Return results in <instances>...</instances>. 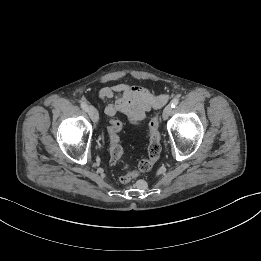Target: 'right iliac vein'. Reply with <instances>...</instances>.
<instances>
[{
	"instance_id": "right-iliac-vein-1",
	"label": "right iliac vein",
	"mask_w": 261,
	"mask_h": 261,
	"mask_svg": "<svg viewBox=\"0 0 261 261\" xmlns=\"http://www.w3.org/2000/svg\"><path fill=\"white\" fill-rule=\"evenodd\" d=\"M88 114L93 122H97L99 120V114L95 107L88 106Z\"/></svg>"
}]
</instances>
